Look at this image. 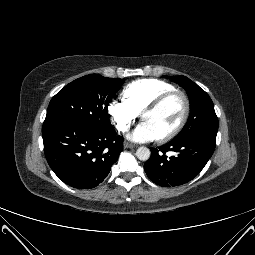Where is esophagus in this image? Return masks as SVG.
<instances>
[{
  "mask_svg": "<svg viewBox=\"0 0 255 255\" xmlns=\"http://www.w3.org/2000/svg\"><path fill=\"white\" fill-rule=\"evenodd\" d=\"M124 148L128 149V148H135V145L130 144L128 142H124Z\"/></svg>",
  "mask_w": 255,
  "mask_h": 255,
  "instance_id": "34e87169",
  "label": "esophagus"
}]
</instances>
